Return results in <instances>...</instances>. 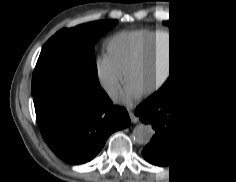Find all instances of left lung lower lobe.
Instances as JSON below:
<instances>
[{
  "instance_id": "left-lung-lower-lobe-1",
  "label": "left lung lower lobe",
  "mask_w": 236,
  "mask_h": 182,
  "mask_svg": "<svg viewBox=\"0 0 236 182\" xmlns=\"http://www.w3.org/2000/svg\"><path fill=\"white\" fill-rule=\"evenodd\" d=\"M213 110L214 106L158 97L141 103L136 114L155 130L143 157L157 166H172L186 159L201 143Z\"/></svg>"
}]
</instances>
